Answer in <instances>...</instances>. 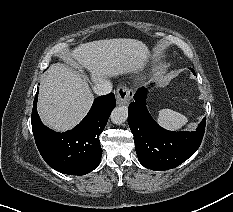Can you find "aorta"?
I'll list each match as a JSON object with an SVG mask.
<instances>
[{
    "mask_svg": "<svg viewBox=\"0 0 233 212\" xmlns=\"http://www.w3.org/2000/svg\"><path fill=\"white\" fill-rule=\"evenodd\" d=\"M128 109L126 107H116L111 113V121L114 124L120 125L127 120Z\"/></svg>",
    "mask_w": 233,
    "mask_h": 212,
    "instance_id": "obj_1",
    "label": "aorta"
}]
</instances>
